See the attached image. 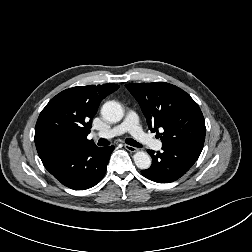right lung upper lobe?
<instances>
[{"mask_svg":"<svg viewBox=\"0 0 252 252\" xmlns=\"http://www.w3.org/2000/svg\"><path fill=\"white\" fill-rule=\"evenodd\" d=\"M119 88L117 84L78 86L53 97L35 126V145L42 158L61 147L95 146L87 139L100 102Z\"/></svg>","mask_w":252,"mask_h":252,"instance_id":"obj_1","label":"right lung upper lobe"}]
</instances>
